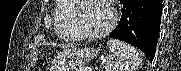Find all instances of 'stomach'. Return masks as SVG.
Masks as SVG:
<instances>
[{
    "label": "stomach",
    "instance_id": "obj_1",
    "mask_svg": "<svg viewBox=\"0 0 181 71\" xmlns=\"http://www.w3.org/2000/svg\"><path fill=\"white\" fill-rule=\"evenodd\" d=\"M98 51L94 48L66 49L60 52L53 61L56 71H72L96 58Z\"/></svg>",
    "mask_w": 181,
    "mask_h": 71
}]
</instances>
